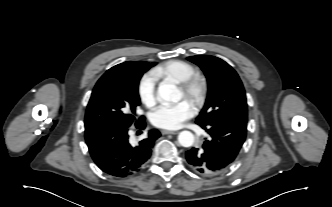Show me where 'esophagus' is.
<instances>
[{"label":"esophagus","instance_id":"obj_1","mask_svg":"<svg viewBox=\"0 0 332 207\" xmlns=\"http://www.w3.org/2000/svg\"><path fill=\"white\" fill-rule=\"evenodd\" d=\"M161 133L163 135H167V134H176L177 132L176 131H170V130H162Z\"/></svg>","mask_w":332,"mask_h":207}]
</instances>
